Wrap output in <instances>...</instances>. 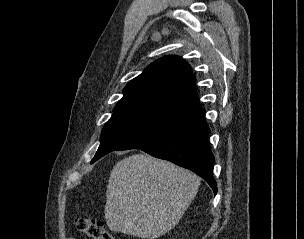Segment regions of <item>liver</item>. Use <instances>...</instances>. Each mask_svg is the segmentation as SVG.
<instances>
[{
  "instance_id": "6515ba94",
  "label": "liver",
  "mask_w": 304,
  "mask_h": 239,
  "mask_svg": "<svg viewBox=\"0 0 304 239\" xmlns=\"http://www.w3.org/2000/svg\"><path fill=\"white\" fill-rule=\"evenodd\" d=\"M200 178L171 162L146 154L113 167L106 191L110 230L155 239L174 228L197 194Z\"/></svg>"
}]
</instances>
